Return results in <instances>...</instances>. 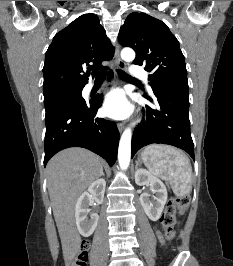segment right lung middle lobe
<instances>
[{
  "label": "right lung middle lobe",
  "mask_w": 233,
  "mask_h": 266,
  "mask_svg": "<svg viewBox=\"0 0 233 266\" xmlns=\"http://www.w3.org/2000/svg\"><path fill=\"white\" fill-rule=\"evenodd\" d=\"M82 89H63L45 93L44 106L46 113L64 105L84 102L85 100L81 95Z\"/></svg>",
  "instance_id": "right-lung-middle-lobe-1"
}]
</instances>
